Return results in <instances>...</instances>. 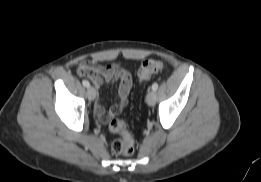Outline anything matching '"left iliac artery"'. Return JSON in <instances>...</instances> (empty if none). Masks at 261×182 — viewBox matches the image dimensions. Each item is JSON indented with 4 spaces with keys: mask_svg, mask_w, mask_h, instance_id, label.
<instances>
[{
    "mask_svg": "<svg viewBox=\"0 0 261 182\" xmlns=\"http://www.w3.org/2000/svg\"><path fill=\"white\" fill-rule=\"evenodd\" d=\"M158 89V83H153L152 90L156 91Z\"/></svg>",
    "mask_w": 261,
    "mask_h": 182,
    "instance_id": "left-iliac-artery-1",
    "label": "left iliac artery"
}]
</instances>
